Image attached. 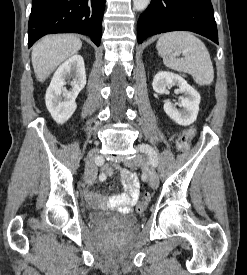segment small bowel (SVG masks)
Wrapping results in <instances>:
<instances>
[{
	"mask_svg": "<svg viewBox=\"0 0 247 275\" xmlns=\"http://www.w3.org/2000/svg\"><path fill=\"white\" fill-rule=\"evenodd\" d=\"M113 167L111 165L103 166L104 174L112 175ZM122 178L124 192L110 197L106 203L109 207L119 208L124 212H128L139 198V181L136 175L126 169L116 168ZM85 197L87 201L93 206H100L104 203L101 195L93 191H86Z\"/></svg>",
	"mask_w": 247,
	"mask_h": 275,
	"instance_id": "small-bowel-1",
	"label": "small bowel"
}]
</instances>
